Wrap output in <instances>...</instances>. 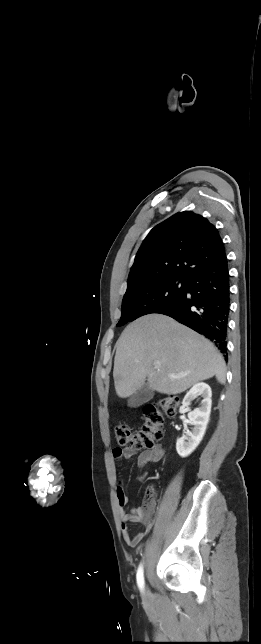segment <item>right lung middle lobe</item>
Masks as SVG:
<instances>
[{"label": "right lung middle lobe", "mask_w": 261, "mask_h": 644, "mask_svg": "<svg viewBox=\"0 0 261 644\" xmlns=\"http://www.w3.org/2000/svg\"><path fill=\"white\" fill-rule=\"evenodd\" d=\"M185 287L186 279L169 278L127 289L122 301V315L117 326L173 305L183 296Z\"/></svg>", "instance_id": "right-lung-middle-lobe-1"}]
</instances>
